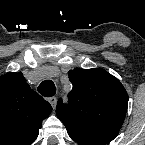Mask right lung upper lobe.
I'll use <instances>...</instances> for the list:
<instances>
[{"mask_svg":"<svg viewBox=\"0 0 145 145\" xmlns=\"http://www.w3.org/2000/svg\"><path fill=\"white\" fill-rule=\"evenodd\" d=\"M51 111L21 72L0 77V145H30Z\"/></svg>","mask_w":145,"mask_h":145,"instance_id":"cb5924a9","label":"right lung upper lobe"}]
</instances>
